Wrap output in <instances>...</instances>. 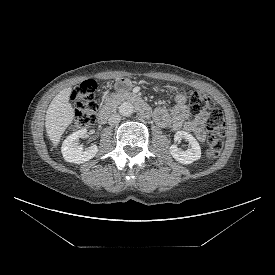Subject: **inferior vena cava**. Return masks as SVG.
Segmentation results:
<instances>
[{
  "mask_svg": "<svg viewBox=\"0 0 275 275\" xmlns=\"http://www.w3.org/2000/svg\"><path fill=\"white\" fill-rule=\"evenodd\" d=\"M121 120V116L118 114V113H112L110 116H109V119H108V123L109 125H116L120 122Z\"/></svg>",
  "mask_w": 275,
  "mask_h": 275,
  "instance_id": "1",
  "label": "inferior vena cava"
}]
</instances>
